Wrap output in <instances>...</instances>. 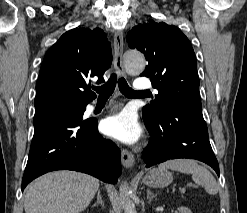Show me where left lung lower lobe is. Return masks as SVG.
I'll return each mask as SVG.
<instances>
[{"label": "left lung lower lobe", "instance_id": "left-lung-lower-lobe-1", "mask_svg": "<svg viewBox=\"0 0 247 213\" xmlns=\"http://www.w3.org/2000/svg\"><path fill=\"white\" fill-rule=\"evenodd\" d=\"M151 139L143 150L145 167L166 160L189 158L210 165L219 175L218 161L211 148L206 122L201 109L184 101L167 102L154 124H146Z\"/></svg>", "mask_w": 247, "mask_h": 213}]
</instances>
